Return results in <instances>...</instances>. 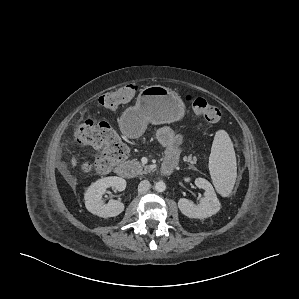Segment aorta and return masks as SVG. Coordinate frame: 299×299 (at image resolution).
I'll list each match as a JSON object with an SVG mask.
<instances>
[{
    "label": "aorta",
    "mask_w": 299,
    "mask_h": 299,
    "mask_svg": "<svg viewBox=\"0 0 299 299\" xmlns=\"http://www.w3.org/2000/svg\"><path fill=\"white\" fill-rule=\"evenodd\" d=\"M166 189V184L163 181H159L155 184V190L158 192H164Z\"/></svg>",
    "instance_id": "762f6f07"
}]
</instances>
